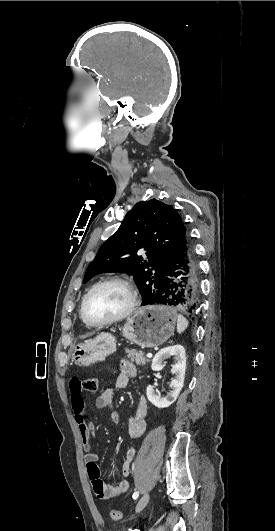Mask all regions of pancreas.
<instances>
[{
	"label": "pancreas",
	"instance_id": "pancreas-1",
	"mask_svg": "<svg viewBox=\"0 0 275 531\" xmlns=\"http://www.w3.org/2000/svg\"><path fill=\"white\" fill-rule=\"evenodd\" d=\"M125 353H128V359H131L132 363L135 361L136 365H146V363H149V359H146L142 351H135V349H125Z\"/></svg>",
	"mask_w": 275,
	"mask_h": 531
}]
</instances>
